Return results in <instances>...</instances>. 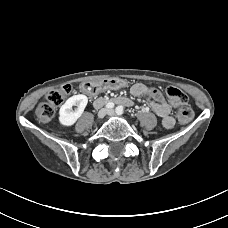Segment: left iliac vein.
<instances>
[{
	"label": "left iliac vein",
	"instance_id": "obj_1",
	"mask_svg": "<svg viewBox=\"0 0 228 228\" xmlns=\"http://www.w3.org/2000/svg\"><path fill=\"white\" fill-rule=\"evenodd\" d=\"M108 115H110V116H114L115 115V112H114V110H108Z\"/></svg>",
	"mask_w": 228,
	"mask_h": 228
}]
</instances>
